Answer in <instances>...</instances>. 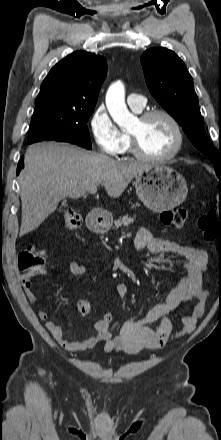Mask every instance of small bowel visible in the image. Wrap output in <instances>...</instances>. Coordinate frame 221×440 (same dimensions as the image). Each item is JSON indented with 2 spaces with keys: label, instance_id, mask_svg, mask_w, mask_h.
<instances>
[{
  "label": "small bowel",
  "instance_id": "small-bowel-1",
  "mask_svg": "<svg viewBox=\"0 0 221 440\" xmlns=\"http://www.w3.org/2000/svg\"><path fill=\"white\" fill-rule=\"evenodd\" d=\"M134 247L137 251L147 249L152 254L175 255L183 271L177 285L163 302L154 305L143 317L126 322L116 336H113L110 331L111 321H104L101 317L94 324L96 333L93 336L84 340H74L67 337L58 324L49 320L45 311H37L38 318L45 321L47 330L62 348L68 351L87 350L102 344L106 352L136 353L144 348L163 347L195 329L204 314L208 300V293L204 288L208 269L207 253L202 249L186 246L171 239L155 238L145 228L138 230L134 239ZM69 270L73 275L80 276L85 273L86 267L81 263L71 261ZM21 282L28 301L36 302L30 275L24 274ZM116 293L121 298L125 297L128 293V286L125 283H118ZM189 302H194L192 311L182 318L181 329L174 330L170 314ZM155 321L159 322L157 330L148 327V324Z\"/></svg>",
  "mask_w": 221,
  "mask_h": 440
}]
</instances>
